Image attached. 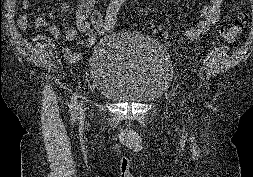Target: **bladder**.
Instances as JSON below:
<instances>
[{
	"instance_id": "bladder-1",
	"label": "bladder",
	"mask_w": 253,
	"mask_h": 177,
	"mask_svg": "<svg viewBox=\"0 0 253 177\" xmlns=\"http://www.w3.org/2000/svg\"><path fill=\"white\" fill-rule=\"evenodd\" d=\"M172 69L159 41L126 31L105 37L90 59L95 91L122 103L158 100L170 84Z\"/></svg>"
}]
</instances>
